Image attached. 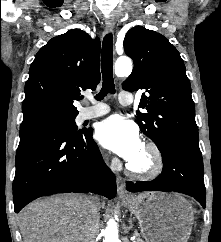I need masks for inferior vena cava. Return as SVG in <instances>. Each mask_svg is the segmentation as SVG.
I'll list each match as a JSON object with an SVG mask.
<instances>
[{
  "mask_svg": "<svg viewBox=\"0 0 221 242\" xmlns=\"http://www.w3.org/2000/svg\"><path fill=\"white\" fill-rule=\"evenodd\" d=\"M99 210L100 207L96 196H89L85 198L83 202V242H95L99 233Z\"/></svg>",
  "mask_w": 221,
  "mask_h": 242,
  "instance_id": "obj_1",
  "label": "inferior vena cava"
}]
</instances>
